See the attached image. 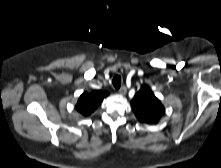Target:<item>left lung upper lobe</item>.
I'll use <instances>...</instances> for the list:
<instances>
[{
	"mask_svg": "<svg viewBox=\"0 0 221 168\" xmlns=\"http://www.w3.org/2000/svg\"><path fill=\"white\" fill-rule=\"evenodd\" d=\"M131 104L134 114L142 123H157L165 112L164 106L147 85L141 87Z\"/></svg>",
	"mask_w": 221,
	"mask_h": 168,
	"instance_id": "1",
	"label": "left lung upper lobe"
}]
</instances>
